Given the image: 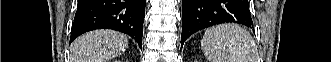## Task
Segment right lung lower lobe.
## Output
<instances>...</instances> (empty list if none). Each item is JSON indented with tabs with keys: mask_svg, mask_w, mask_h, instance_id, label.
<instances>
[{
	"mask_svg": "<svg viewBox=\"0 0 331 62\" xmlns=\"http://www.w3.org/2000/svg\"><path fill=\"white\" fill-rule=\"evenodd\" d=\"M146 0H78L70 42L84 32L113 29L130 35L142 49Z\"/></svg>",
	"mask_w": 331,
	"mask_h": 62,
	"instance_id": "98d812e1",
	"label": "right lung lower lobe"
}]
</instances>
